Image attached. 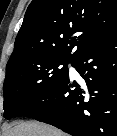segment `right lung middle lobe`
<instances>
[{
  "label": "right lung middle lobe",
  "mask_w": 117,
  "mask_h": 136,
  "mask_svg": "<svg viewBox=\"0 0 117 136\" xmlns=\"http://www.w3.org/2000/svg\"><path fill=\"white\" fill-rule=\"evenodd\" d=\"M74 60L33 55L6 65L3 84L4 117L10 119L31 99L58 86L68 75Z\"/></svg>",
  "instance_id": "obj_1"
}]
</instances>
